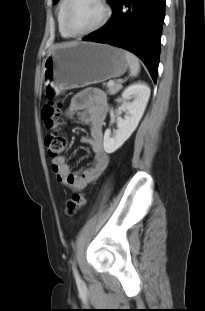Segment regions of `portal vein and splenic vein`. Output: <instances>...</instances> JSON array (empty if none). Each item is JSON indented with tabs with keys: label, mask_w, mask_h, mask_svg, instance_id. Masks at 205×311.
<instances>
[{
	"label": "portal vein and splenic vein",
	"mask_w": 205,
	"mask_h": 311,
	"mask_svg": "<svg viewBox=\"0 0 205 311\" xmlns=\"http://www.w3.org/2000/svg\"><path fill=\"white\" fill-rule=\"evenodd\" d=\"M109 84H110V85H113V84H115V83H114V81H109Z\"/></svg>",
	"instance_id": "18ae733b"
}]
</instances>
